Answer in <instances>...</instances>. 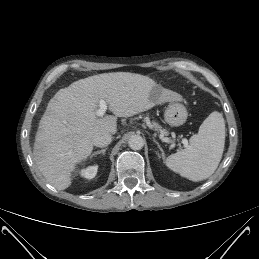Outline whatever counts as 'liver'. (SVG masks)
Returning a JSON list of instances; mask_svg holds the SVG:
<instances>
[{
	"mask_svg": "<svg viewBox=\"0 0 259 259\" xmlns=\"http://www.w3.org/2000/svg\"><path fill=\"white\" fill-rule=\"evenodd\" d=\"M151 78L113 72L90 76L60 89L49 101L35 136L34 160L48 183L57 190L71 185V172L93 150V139L116 133L117 117H130L156 104L182 101L180 94L154 91ZM104 100L115 115L98 118L99 101Z\"/></svg>",
	"mask_w": 259,
	"mask_h": 259,
	"instance_id": "obj_1",
	"label": "liver"
}]
</instances>
